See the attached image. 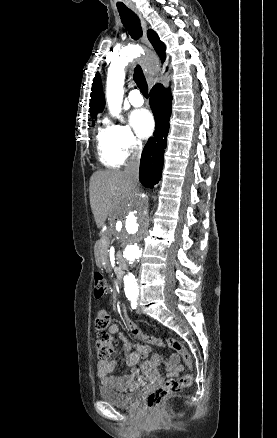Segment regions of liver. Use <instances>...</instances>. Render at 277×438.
I'll list each match as a JSON object with an SVG mask.
<instances>
[{"instance_id": "1", "label": "liver", "mask_w": 277, "mask_h": 438, "mask_svg": "<svg viewBox=\"0 0 277 438\" xmlns=\"http://www.w3.org/2000/svg\"><path fill=\"white\" fill-rule=\"evenodd\" d=\"M122 188H133L125 172L102 170L90 180V206L97 228H102L113 205H121Z\"/></svg>"}]
</instances>
